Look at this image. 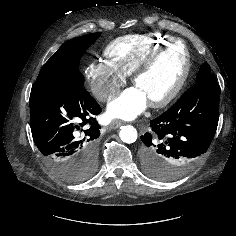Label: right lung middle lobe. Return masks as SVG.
Masks as SVG:
<instances>
[{
  "label": "right lung middle lobe",
  "mask_w": 236,
  "mask_h": 236,
  "mask_svg": "<svg viewBox=\"0 0 236 236\" xmlns=\"http://www.w3.org/2000/svg\"><path fill=\"white\" fill-rule=\"evenodd\" d=\"M100 33L80 36L65 42L43 65L35 83L59 84L73 81L84 87V77L78 70L83 52L99 37ZM97 160L89 158L77 164H51L53 170L67 181L88 178L96 168Z\"/></svg>",
  "instance_id": "dd1d6c3e"
}]
</instances>
